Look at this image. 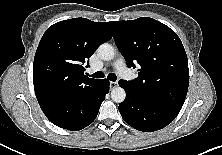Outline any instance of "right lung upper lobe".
Segmentation results:
<instances>
[{
    "label": "right lung upper lobe",
    "instance_id": "obj_1",
    "mask_svg": "<svg viewBox=\"0 0 222 155\" xmlns=\"http://www.w3.org/2000/svg\"><path fill=\"white\" fill-rule=\"evenodd\" d=\"M111 38L110 22L73 18L50 26L42 36L34 58L35 94L49 92L54 97H63L97 83L98 79L84 74L83 64L100 44Z\"/></svg>",
    "mask_w": 222,
    "mask_h": 155
}]
</instances>
